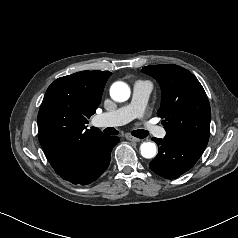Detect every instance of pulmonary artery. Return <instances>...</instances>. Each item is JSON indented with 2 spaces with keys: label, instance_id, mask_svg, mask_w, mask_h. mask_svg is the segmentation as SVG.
Masks as SVG:
<instances>
[{
  "label": "pulmonary artery",
  "instance_id": "1",
  "mask_svg": "<svg viewBox=\"0 0 238 238\" xmlns=\"http://www.w3.org/2000/svg\"><path fill=\"white\" fill-rule=\"evenodd\" d=\"M151 91L152 85L150 82L142 80L136 81L133 84L130 103L97 116V124L101 127H116L142 117ZM145 129L150 134L152 133L159 136L164 134V130L152 122L145 123Z\"/></svg>",
  "mask_w": 238,
  "mask_h": 238
}]
</instances>
